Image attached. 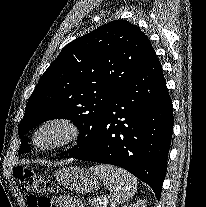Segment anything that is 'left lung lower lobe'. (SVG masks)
I'll return each mask as SVG.
<instances>
[{
  "mask_svg": "<svg viewBox=\"0 0 206 207\" xmlns=\"http://www.w3.org/2000/svg\"><path fill=\"white\" fill-rule=\"evenodd\" d=\"M172 129V101L154 53L111 101L92 144L71 156L126 169L159 201Z\"/></svg>",
  "mask_w": 206,
  "mask_h": 207,
  "instance_id": "0a47b994",
  "label": "left lung lower lobe"
}]
</instances>
